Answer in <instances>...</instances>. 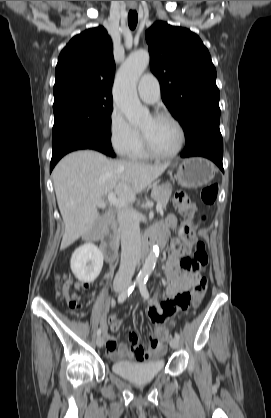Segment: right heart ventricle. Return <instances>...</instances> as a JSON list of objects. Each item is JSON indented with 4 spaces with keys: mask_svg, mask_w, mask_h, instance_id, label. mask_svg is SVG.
<instances>
[{
    "mask_svg": "<svg viewBox=\"0 0 271 418\" xmlns=\"http://www.w3.org/2000/svg\"><path fill=\"white\" fill-rule=\"evenodd\" d=\"M131 159L140 160V159H146L148 157V154L146 153L142 141V137L140 134V141L136 145V147L131 151V153L128 155Z\"/></svg>",
    "mask_w": 271,
    "mask_h": 418,
    "instance_id": "right-heart-ventricle-1",
    "label": "right heart ventricle"
}]
</instances>
